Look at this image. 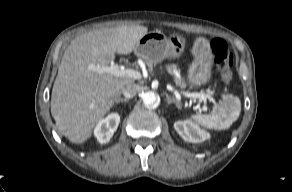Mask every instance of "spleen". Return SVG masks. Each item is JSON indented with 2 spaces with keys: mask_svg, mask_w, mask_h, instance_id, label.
<instances>
[{
  "mask_svg": "<svg viewBox=\"0 0 292 192\" xmlns=\"http://www.w3.org/2000/svg\"><path fill=\"white\" fill-rule=\"evenodd\" d=\"M241 111V102L237 96L224 95L223 103L213 108L209 115H192L191 119L207 129L225 130L235 122Z\"/></svg>",
  "mask_w": 292,
  "mask_h": 192,
  "instance_id": "obj_1",
  "label": "spleen"
}]
</instances>
